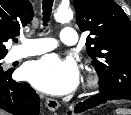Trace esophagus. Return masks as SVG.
I'll return each instance as SVG.
<instances>
[{"label": "esophagus", "mask_w": 131, "mask_h": 115, "mask_svg": "<svg viewBox=\"0 0 131 115\" xmlns=\"http://www.w3.org/2000/svg\"><path fill=\"white\" fill-rule=\"evenodd\" d=\"M45 104L50 111H55L59 108L58 101L52 98H46Z\"/></svg>", "instance_id": "esophagus-1"}]
</instances>
